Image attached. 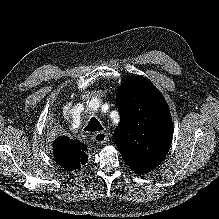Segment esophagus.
Segmentation results:
<instances>
[{
	"label": "esophagus",
	"instance_id": "34e87169",
	"mask_svg": "<svg viewBox=\"0 0 219 219\" xmlns=\"http://www.w3.org/2000/svg\"><path fill=\"white\" fill-rule=\"evenodd\" d=\"M93 139L98 144H104L108 139V134L106 132H97L94 134Z\"/></svg>",
	"mask_w": 219,
	"mask_h": 219
}]
</instances>
